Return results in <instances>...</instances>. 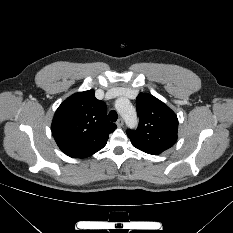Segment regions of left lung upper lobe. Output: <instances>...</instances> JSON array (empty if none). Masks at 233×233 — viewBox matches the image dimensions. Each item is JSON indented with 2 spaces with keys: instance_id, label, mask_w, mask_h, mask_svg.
<instances>
[{
  "instance_id": "left-lung-upper-lobe-1",
  "label": "left lung upper lobe",
  "mask_w": 233,
  "mask_h": 233,
  "mask_svg": "<svg viewBox=\"0 0 233 233\" xmlns=\"http://www.w3.org/2000/svg\"><path fill=\"white\" fill-rule=\"evenodd\" d=\"M139 125L126 133L137 149L158 155L172 147L177 140L176 114L156 97L140 93L136 98Z\"/></svg>"
}]
</instances>
